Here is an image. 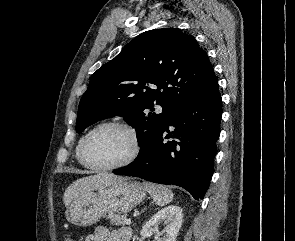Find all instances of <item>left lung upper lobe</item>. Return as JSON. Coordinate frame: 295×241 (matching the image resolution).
Wrapping results in <instances>:
<instances>
[{
  "label": "left lung upper lobe",
  "mask_w": 295,
  "mask_h": 241,
  "mask_svg": "<svg viewBox=\"0 0 295 241\" xmlns=\"http://www.w3.org/2000/svg\"><path fill=\"white\" fill-rule=\"evenodd\" d=\"M216 79L193 36L178 28L146 31L91 76L80 100L76 132L119 115L136 129L142 152L180 105ZM156 105L162 112H154Z\"/></svg>",
  "instance_id": "left-lung-upper-lobe-1"
}]
</instances>
